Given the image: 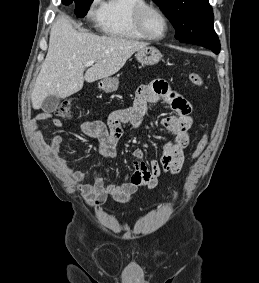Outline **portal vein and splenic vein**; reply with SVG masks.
<instances>
[{
  "mask_svg": "<svg viewBox=\"0 0 259 283\" xmlns=\"http://www.w3.org/2000/svg\"><path fill=\"white\" fill-rule=\"evenodd\" d=\"M94 63H95V60H90L85 63V67L93 66Z\"/></svg>",
  "mask_w": 259,
  "mask_h": 283,
  "instance_id": "18ae733b",
  "label": "portal vein and splenic vein"
}]
</instances>
